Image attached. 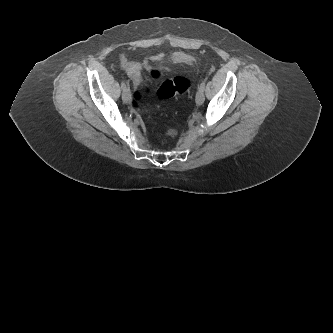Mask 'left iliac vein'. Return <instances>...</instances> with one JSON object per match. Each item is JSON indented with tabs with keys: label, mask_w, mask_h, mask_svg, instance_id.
I'll list each match as a JSON object with an SVG mask.
<instances>
[{
	"label": "left iliac vein",
	"mask_w": 333,
	"mask_h": 333,
	"mask_svg": "<svg viewBox=\"0 0 333 333\" xmlns=\"http://www.w3.org/2000/svg\"><path fill=\"white\" fill-rule=\"evenodd\" d=\"M205 100L204 92L202 90H198L196 94V104L197 105H202Z\"/></svg>",
	"instance_id": "4c4485c4"
}]
</instances>
